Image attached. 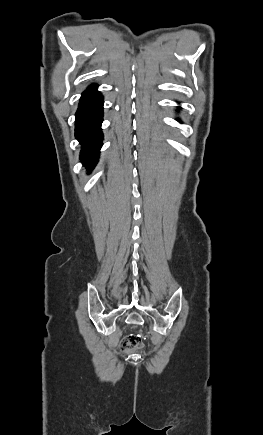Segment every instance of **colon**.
I'll return each mask as SVG.
<instances>
[{
  "mask_svg": "<svg viewBox=\"0 0 263 435\" xmlns=\"http://www.w3.org/2000/svg\"><path fill=\"white\" fill-rule=\"evenodd\" d=\"M139 346V338L136 335L129 334L123 337L121 341V349L129 351Z\"/></svg>",
  "mask_w": 263,
  "mask_h": 435,
  "instance_id": "obj_1",
  "label": "colon"
}]
</instances>
